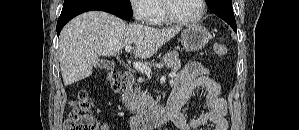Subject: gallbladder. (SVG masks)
Wrapping results in <instances>:
<instances>
[{
	"instance_id": "bac80fb5",
	"label": "gallbladder",
	"mask_w": 299,
	"mask_h": 130,
	"mask_svg": "<svg viewBox=\"0 0 299 130\" xmlns=\"http://www.w3.org/2000/svg\"><path fill=\"white\" fill-rule=\"evenodd\" d=\"M115 65L109 61L106 60H99L96 65L95 68H99V69H114Z\"/></svg>"
}]
</instances>
